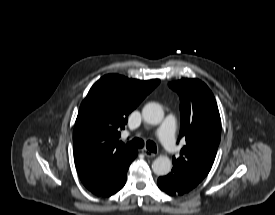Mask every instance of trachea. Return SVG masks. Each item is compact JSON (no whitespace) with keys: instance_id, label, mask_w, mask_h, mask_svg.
<instances>
[{"instance_id":"1","label":"trachea","mask_w":275,"mask_h":215,"mask_svg":"<svg viewBox=\"0 0 275 215\" xmlns=\"http://www.w3.org/2000/svg\"><path fill=\"white\" fill-rule=\"evenodd\" d=\"M127 145L133 148H142L144 146V141L140 138H135L128 142ZM146 148L153 153L157 151L156 144L153 141H147Z\"/></svg>"}]
</instances>
